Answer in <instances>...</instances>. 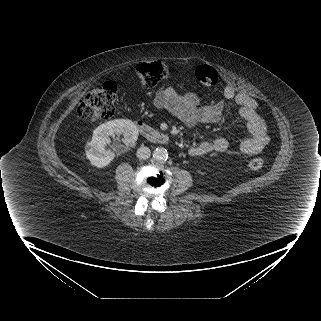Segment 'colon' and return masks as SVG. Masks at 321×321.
Returning <instances> with one entry per match:
<instances>
[{"label":"colon","instance_id":"1","mask_svg":"<svg viewBox=\"0 0 321 321\" xmlns=\"http://www.w3.org/2000/svg\"><path fill=\"white\" fill-rule=\"evenodd\" d=\"M135 74L140 83L145 87H154L167 79L169 69L161 61L143 62L136 66ZM197 80L210 88H216L218 73L209 65H201L195 71ZM118 99V90L114 82H105L100 88L89 92L76 110L79 118L92 120H106L113 116L115 104ZM264 159L257 157L249 161L252 170H260L264 166Z\"/></svg>","mask_w":321,"mask_h":321}]
</instances>
